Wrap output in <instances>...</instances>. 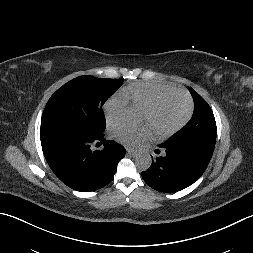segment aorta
<instances>
[{
	"instance_id": "aorta-1",
	"label": "aorta",
	"mask_w": 253,
	"mask_h": 253,
	"mask_svg": "<svg viewBox=\"0 0 253 253\" xmlns=\"http://www.w3.org/2000/svg\"><path fill=\"white\" fill-rule=\"evenodd\" d=\"M125 116L128 122L136 123L139 121V111L135 107H128L125 111ZM135 164L140 170H147L152 164V158L147 152H140L136 155Z\"/></svg>"
}]
</instances>
